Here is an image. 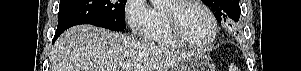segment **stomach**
I'll return each mask as SVG.
<instances>
[{
  "instance_id": "stomach-1",
  "label": "stomach",
  "mask_w": 301,
  "mask_h": 71,
  "mask_svg": "<svg viewBox=\"0 0 301 71\" xmlns=\"http://www.w3.org/2000/svg\"><path fill=\"white\" fill-rule=\"evenodd\" d=\"M170 71H215V64L204 52H192Z\"/></svg>"
}]
</instances>
